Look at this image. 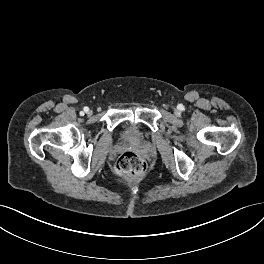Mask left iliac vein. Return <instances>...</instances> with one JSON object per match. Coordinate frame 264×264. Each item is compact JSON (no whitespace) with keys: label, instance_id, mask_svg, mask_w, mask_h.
I'll return each mask as SVG.
<instances>
[{"label":"left iliac vein","instance_id":"obj_1","mask_svg":"<svg viewBox=\"0 0 264 264\" xmlns=\"http://www.w3.org/2000/svg\"><path fill=\"white\" fill-rule=\"evenodd\" d=\"M175 113H176L177 115L180 114V112H179L178 110H176Z\"/></svg>","mask_w":264,"mask_h":264}]
</instances>
